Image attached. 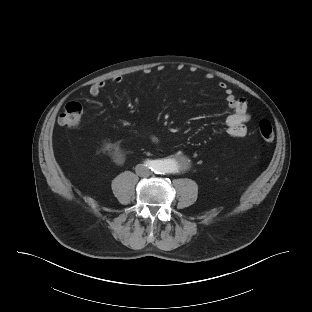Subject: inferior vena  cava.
Returning a JSON list of instances; mask_svg holds the SVG:
<instances>
[{
  "label": "inferior vena cava",
  "mask_w": 312,
  "mask_h": 312,
  "mask_svg": "<svg viewBox=\"0 0 312 312\" xmlns=\"http://www.w3.org/2000/svg\"><path fill=\"white\" fill-rule=\"evenodd\" d=\"M136 173H137L139 176H141V177H147V176L150 175V171H149L147 168L143 167V166L137 167Z\"/></svg>",
  "instance_id": "obj_1"
}]
</instances>
